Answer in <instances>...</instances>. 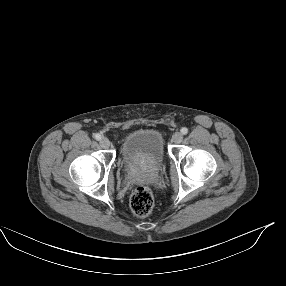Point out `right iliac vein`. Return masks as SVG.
Segmentation results:
<instances>
[{
	"label": "right iliac vein",
	"mask_w": 286,
	"mask_h": 286,
	"mask_svg": "<svg viewBox=\"0 0 286 286\" xmlns=\"http://www.w3.org/2000/svg\"><path fill=\"white\" fill-rule=\"evenodd\" d=\"M100 145L103 147V148H108L110 146V141L108 138L106 137H103L101 140H100Z\"/></svg>",
	"instance_id": "right-iliac-vein-1"
}]
</instances>
